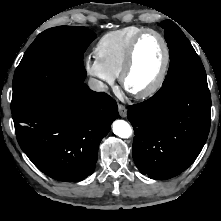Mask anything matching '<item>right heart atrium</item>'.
<instances>
[{
  "mask_svg": "<svg viewBox=\"0 0 221 221\" xmlns=\"http://www.w3.org/2000/svg\"><path fill=\"white\" fill-rule=\"evenodd\" d=\"M85 68L89 75L97 78L103 88L112 85L115 81V76L108 72L96 57L88 56Z\"/></svg>",
  "mask_w": 221,
  "mask_h": 221,
  "instance_id": "right-heart-atrium-1",
  "label": "right heart atrium"
}]
</instances>
